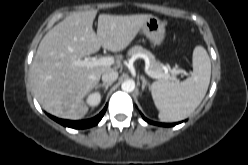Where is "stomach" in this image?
Listing matches in <instances>:
<instances>
[{
	"instance_id": "0dacf381",
	"label": "stomach",
	"mask_w": 248,
	"mask_h": 165,
	"mask_svg": "<svg viewBox=\"0 0 248 165\" xmlns=\"http://www.w3.org/2000/svg\"><path fill=\"white\" fill-rule=\"evenodd\" d=\"M141 33L144 34L154 46L160 45L165 37V24L153 16L144 23L141 28Z\"/></svg>"
}]
</instances>
